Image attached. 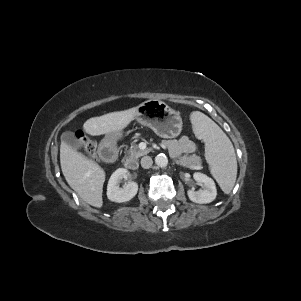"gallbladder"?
I'll return each instance as SVG.
<instances>
[{
	"label": "gallbladder",
	"instance_id": "gallbladder-1",
	"mask_svg": "<svg viewBox=\"0 0 301 301\" xmlns=\"http://www.w3.org/2000/svg\"><path fill=\"white\" fill-rule=\"evenodd\" d=\"M61 140L73 149H80L81 142L76 135L71 131H66L61 135Z\"/></svg>",
	"mask_w": 301,
	"mask_h": 301
}]
</instances>
